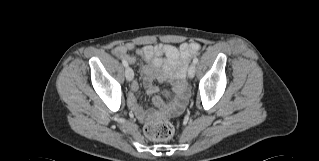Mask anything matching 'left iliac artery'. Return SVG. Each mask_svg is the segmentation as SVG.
I'll return each instance as SVG.
<instances>
[{
    "instance_id": "44dca946",
    "label": "left iliac artery",
    "mask_w": 319,
    "mask_h": 161,
    "mask_svg": "<svg viewBox=\"0 0 319 161\" xmlns=\"http://www.w3.org/2000/svg\"><path fill=\"white\" fill-rule=\"evenodd\" d=\"M193 63L196 65L198 63V58H194Z\"/></svg>"
}]
</instances>
